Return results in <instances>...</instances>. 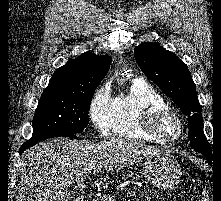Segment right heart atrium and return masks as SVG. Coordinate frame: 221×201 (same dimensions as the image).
<instances>
[{
    "instance_id": "obj_1",
    "label": "right heart atrium",
    "mask_w": 221,
    "mask_h": 201,
    "mask_svg": "<svg viewBox=\"0 0 221 201\" xmlns=\"http://www.w3.org/2000/svg\"><path fill=\"white\" fill-rule=\"evenodd\" d=\"M114 114V98L109 83L100 86L94 93L88 108L92 125L102 136L112 130Z\"/></svg>"
}]
</instances>
